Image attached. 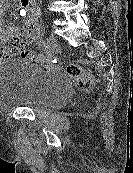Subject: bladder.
<instances>
[{
  "label": "bladder",
  "instance_id": "1",
  "mask_svg": "<svg viewBox=\"0 0 133 173\" xmlns=\"http://www.w3.org/2000/svg\"><path fill=\"white\" fill-rule=\"evenodd\" d=\"M72 94L69 80L18 59L0 65V111L18 107L34 111L59 106Z\"/></svg>",
  "mask_w": 133,
  "mask_h": 173
}]
</instances>
